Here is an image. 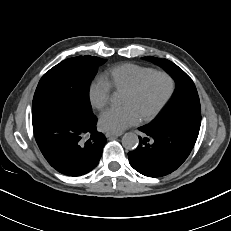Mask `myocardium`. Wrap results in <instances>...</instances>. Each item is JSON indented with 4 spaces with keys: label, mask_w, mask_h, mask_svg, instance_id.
Wrapping results in <instances>:
<instances>
[{
    "label": "myocardium",
    "mask_w": 231,
    "mask_h": 231,
    "mask_svg": "<svg viewBox=\"0 0 231 231\" xmlns=\"http://www.w3.org/2000/svg\"><path fill=\"white\" fill-rule=\"evenodd\" d=\"M155 75H162L165 76L170 83V88L169 91L166 95V97L163 99V101L150 113L142 116L140 118L141 121L143 122H147L152 120L153 118H155L163 109L164 107L168 104V102L171 100L174 91H175V80L172 77L171 74H169L166 71H162V70H154L146 75H144L143 77H141L138 81H136L131 87H129L125 93H129V94H134L137 91L140 90V88L144 85V83L151 77L155 76Z\"/></svg>",
    "instance_id": "f54148a6"
}]
</instances>
